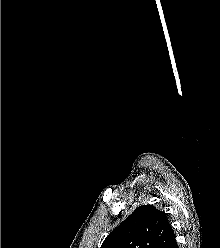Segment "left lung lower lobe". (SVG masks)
Returning a JSON list of instances; mask_svg holds the SVG:
<instances>
[{"mask_svg": "<svg viewBox=\"0 0 220 248\" xmlns=\"http://www.w3.org/2000/svg\"><path fill=\"white\" fill-rule=\"evenodd\" d=\"M167 248H178V245H177V242L175 240V237L172 240V242L167 246Z\"/></svg>", "mask_w": 220, "mask_h": 248, "instance_id": "left-lung-lower-lobe-1", "label": "left lung lower lobe"}]
</instances>
